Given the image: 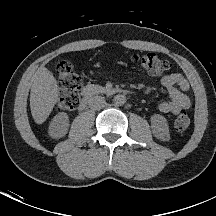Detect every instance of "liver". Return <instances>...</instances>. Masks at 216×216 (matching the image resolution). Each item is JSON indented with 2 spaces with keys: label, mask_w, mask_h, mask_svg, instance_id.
Listing matches in <instances>:
<instances>
[{
  "label": "liver",
  "mask_w": 216,
  "mask_h": 216,
  "mask_svg": "<svg viewBox=\"0 0 216 216\" xmlns=\"http://www.w3.org/2000/svg\"><path fill=\"white\" fill-rule=\"evenodd\" d=\"M59 99L58 85L52 72L44 66L38 68L33 76L30 92V108L37 124H42L49 117Z\"/></svg>",
  "instance_id": "liver-1"
}]
</instances>
